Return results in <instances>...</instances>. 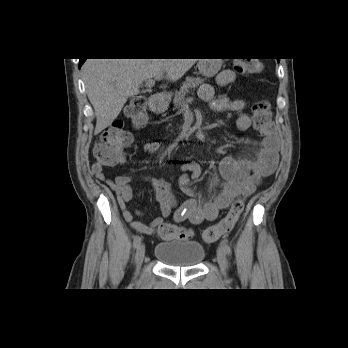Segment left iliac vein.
I'll return each mask as SVG.
<instances>
[{
	"label": "left iliac vein",
	"instance_id": "left-iliac-vein-1",
	"mask_svg": "<svg viewBox=\"0 0 348 348\" xmlns=\"http://www.w3.org/2000/svg\"><path fill=\"white\" fill-rule=\"evenodd\" d=\"M217 261L220 266L222 275L226 277L227 258H226L224 250L221 247H219L217 250Z\"/></svg>",
	"mask_w": 348,
	"mask_h": 348
}]
</instances>
